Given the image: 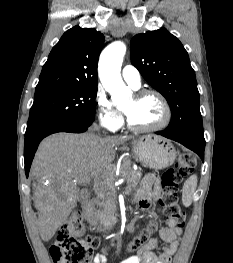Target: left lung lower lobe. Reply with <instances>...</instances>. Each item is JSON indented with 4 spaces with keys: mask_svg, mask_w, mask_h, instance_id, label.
<instances>
[{
    "mask_svg": "<svg viewBox=\"0 0 233 263\" xmlns=\"http://www.w3.org/2000/svg\"><path fill=\"white\" fill-rule=\"evenodd\" d=\"M156 134L162 135V136H164L166 138L175 140V141L183 144L187 148H189L192 151L196 152L201 157L202 161L204 160L205 142L203 143V142L195 141V140H192V139H189V138H185V137L177 135V134L169 133L166 130L165 131L156 132Z\"/></svg>",
    "mask_w": 233,
    "mask_h": 263,
    "instance_id": "obj_1",
    "label": "left lung lower lobe"
}]
</instances>
